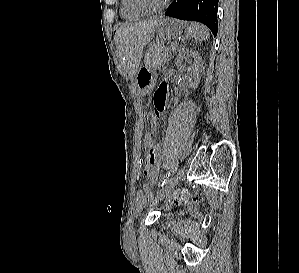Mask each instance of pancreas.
<instances>
[{
  "label": "pancreas",
  "instance_id": "1",
  "mask_svg": "<svg viewBox=\"0 0 299 273\" xmlns=\"http://www.w3.org/2000/svg\"><path fill=\"white\" fill-rule=\"evenodd\" d=\"M174 47V44H158L150 48L145 57L146 67L149 69L160 68L164 63H166L169 60V57L171 56V52L173 51Z\"/></svg>",
  "mask_w": 299,
  "mask_h": 273
}]
</instances>
